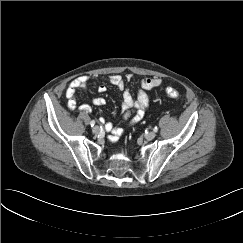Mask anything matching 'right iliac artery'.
Listing matches in <instances>:
<instances>
[{"mask_svg": "<svg viewBox=\"0 0 243 243\" xmlns=\"http://www.w3.org/2000/svg\"><path fill=\"white\" fill-rule=\"evenodd\" d=\"M90 125H91V127H93V126L95 125V121L92 120V121L90 122Z\"/></svg>", "mask_w": 243, "mask_h": 243, "instance_id": "obj_1", "label": "right iliac artery"}]
</instances>
